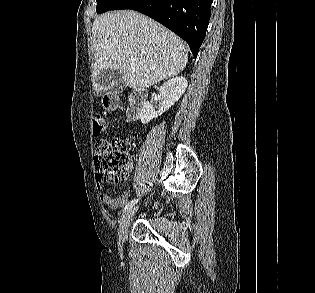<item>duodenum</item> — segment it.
Listing matches in <instances>:
<instances>
[{"label":"duodenum","mask_w":315,"mask_h":293,"mask_svg":"<svg viewBox=\"0 0 315 293\" xmlns=\"http://www.w3.org/2000/svg\"><path fill=\"white\" fill-rule=\"evenodd\" d=\"M146 98L147 91L142 88L135 89L130 93L126 109V117L128 121H136L140 117Z\"/></svg>","instance_id":"410a0bca"}]
</instances>
